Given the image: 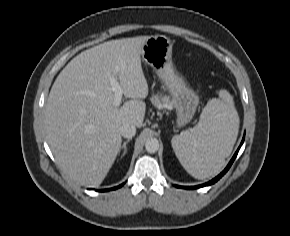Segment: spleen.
<instances>
[{
	"label": "spleen",
	"instance_id": "3e777b00",
	"mask_svg": "<svg viewBox=\"0 0 290 236\" xmlns=\"http://www.w3.org/2000/svg\"><path fill=\"white\" fill-rule=\"evenodd\" d=\"M219 96L208 101L195 127L171 140L181 165L197 179L218 174L237 139L239 116L233 98L226 90Z\"/></svg>",
	"mask_w": 290,
	"mask_h": 236
}]
</instances>
